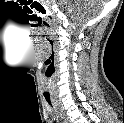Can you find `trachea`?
Here are the masks:
<instances>
[{"mask_svg":"<svg viewBox=\"0 0 124 123\" xmlns=\"http://www.w3.org/2000/svg\"><path fill=\"white\" fill-rule=\"evenodd\" d=\"M45 99H46L47 103H48L51 107H53V106H52V103H51L50 97L45 96Z\"/></svg>","mask_w":124,"mask_h":123,"instance_id":"trachea-1","label":"trachea"}]
</instances>
